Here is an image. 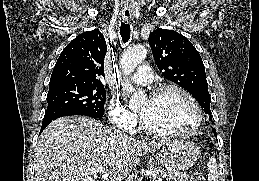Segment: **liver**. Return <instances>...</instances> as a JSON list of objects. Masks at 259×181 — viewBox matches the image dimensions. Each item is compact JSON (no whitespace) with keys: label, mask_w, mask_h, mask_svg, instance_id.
Returning a JSON list of instances; mask_svg holds the SVG:
<instances>
[{"label":"liver","mask_w":259,"mask_h":181,"mask_svg":"<svg viewBox=\"0 0 259 181\" xmlns=\"http://www.w3.org/2000/svg\"><path fill=\"white\" fill-rule=\"evenodd\" d=\"M167 141L142 142L85 116H67L42 132L35 154V181H122ZM102 170L97 176L86 169ZM91 176H94L92 178Z\"/></svg>","instance_id":"6515ba94"}]
</instances>
